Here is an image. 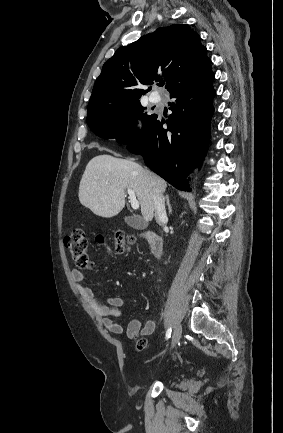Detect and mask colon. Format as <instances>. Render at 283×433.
I'll list each match as a JSON object with an SVG mask.
<instances>
[{"mask_svg":"<svg viewBox=\"0 0 283 433\" xmlns=\"http://www.w3.org/2000/svg\"><path fill=\"white\" fill-rule=\"evenodd\" d=\"M131 241V238L117 232L114 238V250L123 252ZM99 242L103 240L99 239ZM65 247L78 267L91 269L94 266L89 256L88 238L81 228H74L65 238ZM134 345L138 351H142L146 348L147 343L144 338L134 337Z\"/></svg>","mask_w":283,"mask_h":433,"instance_id":"1","label":"colon"}]
</instances>
